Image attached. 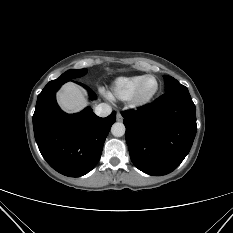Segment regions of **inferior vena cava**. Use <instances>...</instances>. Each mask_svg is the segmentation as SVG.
Segmentation results:
<instances>
[{"label": "inferior vena cava", "instance_id": "602c4592", "mask_svg": "<svg viewBox=\"0 0 233 233\" xmlns=\"http://www.w3.org/2000/svg\"><path fill=\"white\" fill-rule=\"evenodd\" d=\"M95 114L100 117H107L111 114L112 108L105 103H101L95 107Z\"/></svg>", "mask_w": 233, "mask_h": 233}]
</instances>
